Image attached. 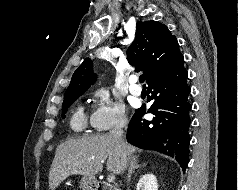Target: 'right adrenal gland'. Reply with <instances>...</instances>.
<instances>
[{
    "label": "right adrenal gland",
    "mask_w": 238,
    "mask_h": 190,
    "mask_svg": "<svg viewBox=\"0 0 238 190\" xmlns=\"http://www.w3.org/2000/svg\"><path fill=\"white\" fill-rule=\"evenodd\" d=\"M146 166V164L140 165L138 163V159L137 157H133L130 159V166H129V171H128V175H127V183H130L131 181V175L132 173H134L135 169H139Z\"/></svg>",
    "instance_id": "2a0ac1e0"
}]
</instances>
